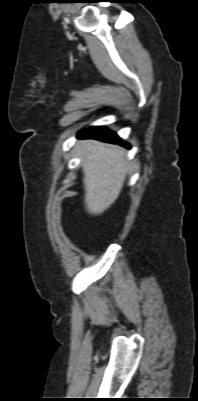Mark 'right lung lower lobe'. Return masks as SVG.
Wrapping results in <instances>:
<instances>
[{
	"mask_svg": "<svg viewBox=\"0 0 198 401\" xmlns=\"http://www.w3.org/2000/svg\"><path fill=\"white\" fill-rule=\"evenodd\" d=\"M79 137L93 138L109 143H117L126 148H130V145L128 143L121 141L114 132H111L104 127H91L88 129H84L80 132Z\"/></svg>",
	"mask_w": 198,
	"mask_h": 401,
	"instance_id": "obj_1",
	"label": "right lung lower lobe"
}]
</instances>
